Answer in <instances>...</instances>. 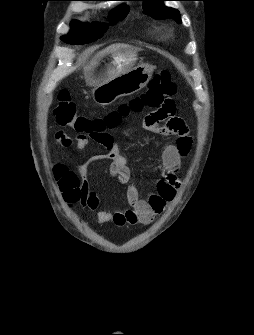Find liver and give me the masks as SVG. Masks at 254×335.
I'll list each match as a JSON object with an SVG mask.
<instances>
[{
    "label": "liver",
    "mask_w": 254,
    "mask_h": 335,
    "mask_svg": "<svg viewBox=\"0 0 254 335\" xmlns=\"http://www.w3.org/2000/svg\"><path fill=\"white\" fill-rule=\"evenodd\" d=\"M127 45L124 44H113L110 45L109 47L99 51L90 61L89 66L85 69L86 73H88L89 69L91 66L95 65L97 63V61L101 58H103L104 56L108 55V54H112L115 53L118 49L125 47Z\"/></svg>",
    "instance_id": "obj_1"
}]
</instances>
